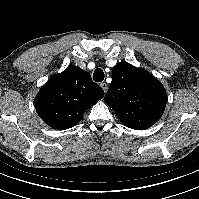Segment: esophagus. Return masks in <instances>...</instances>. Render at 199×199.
I'll return each mask as SVG.
<instances>
[{
    "mask_svg": "<svg viewBox=\"0 0 199 199\" xmlns=\"http://www.w3.org/2000/svg\"><path fill=\"white\" fill-rule=\"evenodd\" d=\"M100 86L103 88L104 92H106V91H107V89H108V85H107V83H105V82H101V83H100Z\"/></svg>",
    "mask_w": 199,
    "mask_h": 199,
    "instance_id": "obj_1",
    "label": "esophagus"
}]
</instances>
